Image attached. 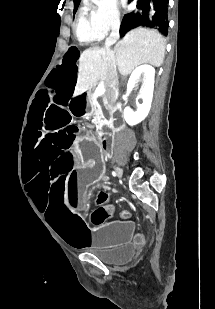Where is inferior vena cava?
Listing matches in <instances>:
<instances>
[{"label":"inferior vena cava","mask_w":215,"mask_h":309,"mask_svg":"<svg viewBox=\"0 0 215 309\" xmlns=\"http://www.w3.org/2000/svg\"><path fill=\"white\" fill-rule=\"evenodd\" d=\"M120 22L119 20H114L111 26V34H109L108 38L105 40V50H106V58L108 64V72L106 76V98L109 104H113L116 102L119 94V80H118V72H117V64L114 52H112L110 46L115 44L116 40H118Z\"/></svg>","instance_id":"1"}]
</instances>
